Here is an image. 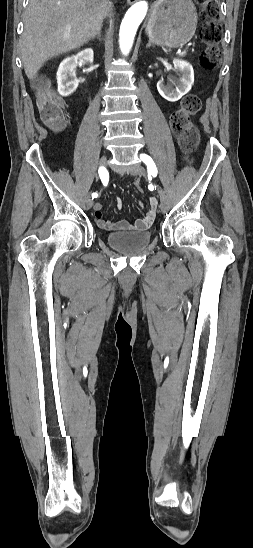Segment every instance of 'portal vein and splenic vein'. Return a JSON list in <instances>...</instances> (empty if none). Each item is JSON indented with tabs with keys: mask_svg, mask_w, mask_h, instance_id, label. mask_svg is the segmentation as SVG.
Listing matches in <instances>:
<instances>
[{
	"mask_svg": "<svg viewBox=\"0 0 253 548\" xmlns=\"http://www.w3.org/2000/svg\"><path fill=\"white\" fill-rule=\"evenodd\" d=\"M181 55H184L186 53V50H183L182 52H179Z\"/></svg>",
	"mask_w": 253,
	"mask_h": 548,
	"instance_id": "18ae733b",
	"label": "portal vein and splenic vein"
}]
</instances>
